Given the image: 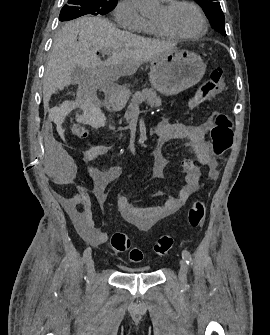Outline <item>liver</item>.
<instances>
[{
  "instance_id": "liver-1",
  "label": "liver",
  "mask_w": 270,
  "mask_h": 335,
  "mask_svg": "<svg viewBox=\"0 0 270 335\" xmlns=\"http://www.w3.org/2000/svg\"><path fill=\"white\" fill-rule=\"evenodd\" d=\"M175 46L172 42H156L118 30L101 16H83L67 22L54 40L45 70L44 110H48L52 94L73 84L71 70L77 66L84 72H95L108 64L110 76H132L144 62L164 52H176ZM98 50H112L113 54L106 62H101Z\"/></svg>"
}]
</instances>
